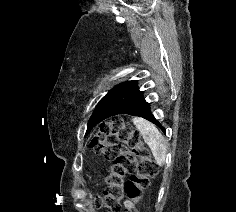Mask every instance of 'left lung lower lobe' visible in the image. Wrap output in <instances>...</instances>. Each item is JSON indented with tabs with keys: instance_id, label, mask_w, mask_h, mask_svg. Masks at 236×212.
Wrapping results in <instances>:
<instances>
[{
	"instance_id": "1",
	"label": "left lung lower lobe",
	"mask_w": 236,
	"mask_h": 212,
	"mask_svg": "<svg viewBox=\"0 0 236 212\" xmlns=\"http://www.w3.org/2000/svg\"><path fill=\"white\" fill-rule=\"evenodd\" d=\"M117 114H129L145 118L156 124L164 133V127L155 119L150 110V104L146 102L137 86V81H126L119 93L101 113L99 121H103Z\"/></svg>"
}]
</instances>
